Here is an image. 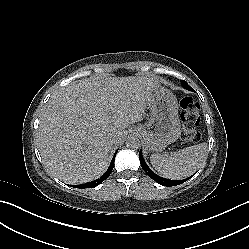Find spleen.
Masks as SVG:
<instances>
[{
	"label": "spleen",
	"instance_id": "3e777b00",
	"mask_svg": "<svg viewBox=\"0 0 249 249\" xmlns=\"http://www.w3.org/2000/svg\"><path fill=\"white\" fill-rule=\"evenodd\" d=\"M207 158L205 142L167 154L154 153L150 161L154 169L163 177L180 179L198 169Z\"/></svg>",
	"mask_w": 249,
	"mask_h": 249
}]
</instances>
